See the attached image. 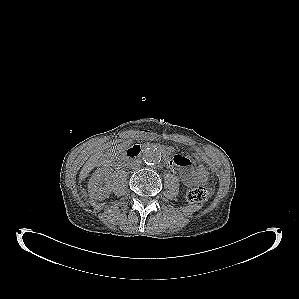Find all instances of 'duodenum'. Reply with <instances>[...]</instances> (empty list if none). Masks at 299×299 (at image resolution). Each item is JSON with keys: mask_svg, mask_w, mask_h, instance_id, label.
I'll return each mask as SVG.
<instances>
[{"mask_svg": "<svg viewBox=\"0 0 299 299\" xmlns=\"http://www.w3.org/2000/svg\"><path fill=\"white\" fill-rule=\"evenodd\" d=\"M142 152V147L140 145H134L128 148L125 152H123L118 158V164L123 165L128 161L137 158ZM165 160L168 166H171L172 160L165 154Z\"/></svg>", "mask_w": 299, "mask_h": 299, "instance_id": "duodenum-1", "label": "duodenum"}]
</instances>
